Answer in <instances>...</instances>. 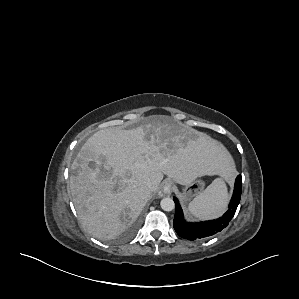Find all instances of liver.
Here are the masks:
<instances>
[{
	"label": "liver",
	"instance_id": "1",
	"mask_svg": "<svg viewBox=\"0 0 299 299\" xmlns=\"http://www.w3.org/2000/svg\"><path fill=\"white\" fill-rule=\"evenodd\" d=\"M232 165L218 141L157 116L134 129L94 133L71 165L69 188L82 226L112 239L134 222L164 174L188 185L203 175L228 176Z\"/></svg>",
	"mask_w": 299,
	"mask_h": 299
}]
</instances>
